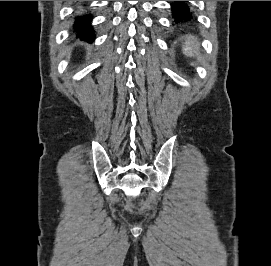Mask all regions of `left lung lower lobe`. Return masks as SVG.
Masks as SVG:
<instances>
[{
	"mask_svg": "<svg viewBox=\"0 0 271 266\" xmlns=\"http://www.w3.org/2000/svg\"><path fill=\"white\" fill-rule=\"evenodd\" d=\"M173 16V25L178 27H187L195 24V16L191 11L187 1H174L171 4Z\"/></svg>",
	"mask_w": 271,
	"mask_h": 266,
	"instance_id": "left-lung-lower-lobe-1",
	"label": "left lung lower lobe"
}]
</instances>
